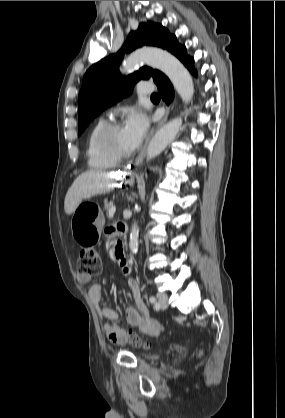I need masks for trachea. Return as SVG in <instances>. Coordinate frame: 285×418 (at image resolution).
<instances>
[{"mask_svg": "<svg viewBox=\"0 0 285 418\" xmlns=\"http://www.w3.org/2000/svg\"><path fill=\"white\" fill-rule=\"evenodd\" d=\"M151 98H159V96H158L157 94L153 93V94L151 95Z\"/></svg>", "mask_w": 285, "mask_h": 418, "instance_id": "trachea-1", "label": "trachea"}]
</instances>
